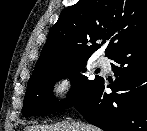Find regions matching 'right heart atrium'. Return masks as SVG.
Masks as SVG:
<instances>
[{
    "instance_id": "d8ad5b80",
    "label": "right heart atrium",
    "mask_w": 147,
    "mask_h": 131,
    "mask_svg": "<svg viewBox=\"0 0 147 131\" xmlns=\"http://www.w3.org/2000/svg\"><path fill=\"white\" fill-rule=\"evenodd\" d=\"M76 79L71 71L57 73L51 81V91L54 100L63 104L68 102L76 90Z\"/></svg>"
}]
</instances>
